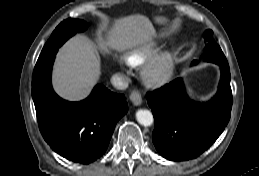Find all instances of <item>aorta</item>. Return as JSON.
Instances as JSON below:
<instances>
[{
	"mask_svg": "<svg viewBox=\"0 0 259 176\" xmlns=\"http://www.w3.org/2000/svg\"><path fill=\"white\" fill-rule=\"evenodd\" d=\"M136 119L143 126H151L154 122L152 113L146 109H140L136 112Z\"/></svg>",
	"mask_w": 259,
	"mask_h": 176,
	"instance_id": "aorta-1",
	"label": "aorta"
}]
</instances>
